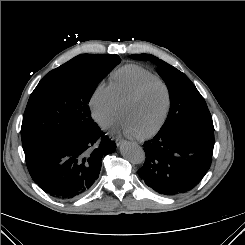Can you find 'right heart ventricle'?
Returning <instances> with one entry per match:
<instances>
[{
  "label": "right heart ventricle",
  "mask_w": 245,
  "mask_h": 245,
  "mask_svg": "<svg viewBox=\"0 0 245 245\" xmlns=\"http://www.w3.org/2000/svg\"><path fill=\"white\" fill-rule=\"evenodd\" d=\"M155 77L148 69L127 64L116 69L110 76V86L118 104L145 79Z\"/></svg>",
  "instance_id": "1"
}]
</instances>
